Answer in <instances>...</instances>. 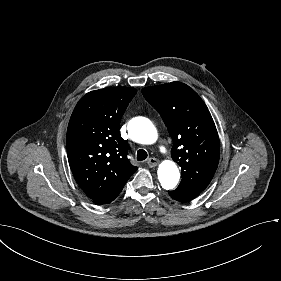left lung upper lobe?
Returning a JSON list of instances; mask_svg holds the SVG:
<instances>
[{
	"label": "left lung upper lobe",
	"mask_w": 281,
	"mask_h": 281,
	"mask_svg": "<svg viewBox=\"0 0 281 281\" xmlns=\"http://www.w3.org/2000/svg\"><path fill=\"white\" fill-rule=\"evenodd\" d=\"M142 94L159 112L173 139L171 156L182 173L177 189L199 195L219 162V137L209 110L199 95L181 82L143 88Z\"/></svg>",
	"instance_id": "obj_1"
}]
</instances>
